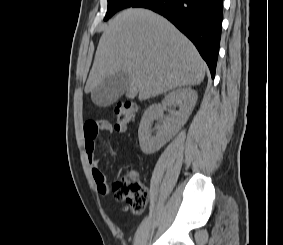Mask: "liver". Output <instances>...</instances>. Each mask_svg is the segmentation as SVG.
I'll use <instances>...</instances> for the list:
<instances>
[{
    "instance_id": "liver-1",
    "label": "liver",
    "mask_w": 283,
    "mask_h": 245,
    "mask_svg": "<svg viewBox=\"0 0 283 245\" xmlns=\"http://www.w3.org/2000/svg\"><path fill=\"white\" fill-rule=\"evenodd\" d=\"M206 65L195 46L164 17L129 8L105 28L85 86L92 90L120 71L131 78L126 97L145 100L181 86L200 84Z\"/></svg>"
}]
</instances>
